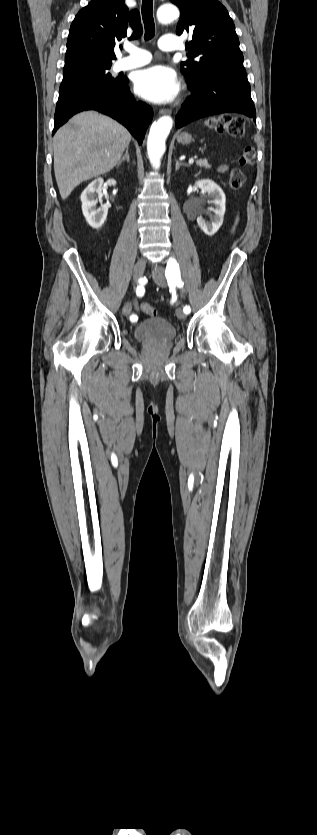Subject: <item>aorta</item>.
Here are the masks:
<instances>
[{"label": "aorta", "mask_w": 317, "mask_h": 835, "mask_svg": "<svg viewBox=\"0 0 317 835\" xmlns=\"http://www.w3.org/2000/svg\"><path fill=\"white\" fill-rule=\"evenodd\" d=\"M179 16V10L172 4L162 5L157 11L158 20L161 23H170ZM173 126L170 116L159 118L150 128L147 139V152L149 160L154 168L160 167L161 158L165 152V141Z\"/></svg>", "instance_id": "1"}]
</instances>
